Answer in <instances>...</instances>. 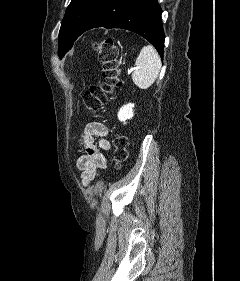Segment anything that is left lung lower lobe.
I'll list each match as a JSON object with an SVG mask.
<instances>
[{"label": "left lung lower lobe", "mask_w": 240, "mask_h": 281, "mask_svg": "<svg viewBox=\"0 0 240 281\" xmlns=\"http://www.w3.org/2000/svg\"><path fill=\"white\" fill-rule=\"evenodd\" d=\"M161 13L157 0H102L82 27L80 35L96 27L127 29L149 41L162 58L164 32Z\"/></svg>", "instance_id": "0a47b994"}]
</instances>
